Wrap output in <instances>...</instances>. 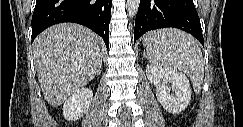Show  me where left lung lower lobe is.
Wrapping results in <instances>:
<instances>
[{
  "instance_id": "1",
  "label": "left lung lower lobe",
  "mask_w": 243,
  "mask_h": 127,
  "mask_svg": "<svg viewBox=\"0 0 243 127\" xmlns=\"http://www.w3.org/2000/svg\"><path fill=\"white\" fill-rule=\"evenodd\" d=\"M165 27L188 32L203 45L200 19L193 0H140L134 43L145 32Z\"/></svg>"
}]
</instances>
